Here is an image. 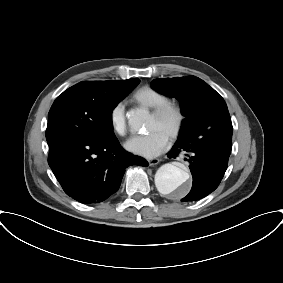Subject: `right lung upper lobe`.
<instances>
[{"mask_svg": "<svg viewBox=\"0 0 283 283\" xmlns=\"http://www.w3.org/2000/svg\"><path fill=\"white\" fill-rule=\"evenodd\" d=\"M130 80L132 79L123 80V81H85V82L96 85L98 87H112V86H118V85L125 84L129 82Z\"/></svg>", "mask_w": 283, "mask_h": 283, "instance_id": "1", "label": "right lung upper lobe"}]
</instances>
